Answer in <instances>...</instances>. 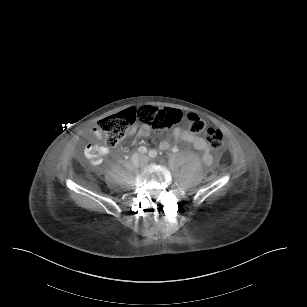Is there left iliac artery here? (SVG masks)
I'll use <instances>...</instances> for the list:
<instances>
[{"instance_id":"44dca946","label":"left iliac artery","mask_w":307,"mask_h":307,"mask_svg":"<svg viewBox=\"0 0 307 307\" xmlns=\"http://www.w3.org/2000/svg\"><path fill=\"white\" fill-rule=\"evenodd\" d=\"M174 152H176V151H174ZM148 154L151 158L157 157V151L156 150H150Z\"/></svg>"}]
</instances>
